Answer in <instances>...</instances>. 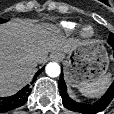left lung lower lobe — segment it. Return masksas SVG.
Segmentation results:
<instances>
[{
    "instance_id": "0a47b994",
    "label": "left lung lower lobe",
    "mask_w": 114,
    "mask_h": 114,
    "mask_svg": "<svg viewBox=\"0 0 114 114\" xmlns=\"http://www.w3.org/2000/svg\"><path fill=\"white\" fill-rule=\"evenodd\" d=\"M109 44L114 49V40L113 39L111 40V42H109ZM58 85L60 88V96L62 97L63 105L69 110H72L75 112H80L82 114H95L99 111H103L114 98V82L111 84V86L109 87L107 92L102 96V98L99 101H97L91 105L75 102L68 96L66 84L64 82L62 73L60 75Z\"/></svg>"
}]
</instances>
